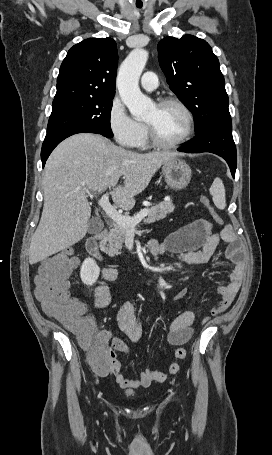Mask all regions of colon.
Here are the masks:
<instances>
[{
  "instance_id": "obj_1",
  "label": "colon",
  "mask_w": 272,
  "mask_h": 455,
  "mask_svg": "<svg viewBox=\"0 0 272 455\" xmlns=\"http://www.w3.org/2000/svg\"><path fill=\"white\" fill-rule=\"evenodd\" d=\"M201 202L214 221L223 224L210 200L202 197ZM75 264L70 249L62 250L44 261L35 277V295L49 316L61 322L80 338L83 346L88 350L90 364L97 369H104L110 365L113 352L95 338L94 324L84 316L83 305L69 295L68 279Z\"/></svg>"
}]
</instances>
